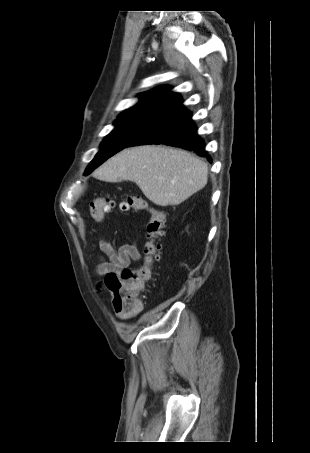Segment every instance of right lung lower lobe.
<instances>
[{
    "instance_id": "1",
    "label": "right lung lower lobe",
    "mask_w": 310,
    "mask_h": 453,
    "mask_svg": "<svg viewBox=\"0 0 310 453\" xmlns=\"http://www.w3.org/2000/svg\"><path fill=\"white\" fill-rule=\"evenodd\" d=\"M143 144H165L194 151L211 158L205 151L203 139L197 133V127L183 102L169 108L126 147Z\"/></svg>"
}]
</instances>
